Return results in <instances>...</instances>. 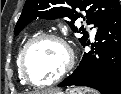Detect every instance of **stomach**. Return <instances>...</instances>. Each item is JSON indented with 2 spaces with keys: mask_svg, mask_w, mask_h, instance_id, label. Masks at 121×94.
<instances>
[{
  "mask_svg": "<svg viewBox=\"0 0 121 94\" xmlns=\"http://www.w3.org/2000/svg\"><path fill=\"white\" fill-rule=\"evenodd\" d=\"M55 94H97L95 91H87V90H83L81 88H73L67 92H58Z\"/></svg>",
  "mask_w": 121,
  "mask_h": 94,
  "instance_id": "0dacf381",
  "label": "stomach"
}]
</instances>
